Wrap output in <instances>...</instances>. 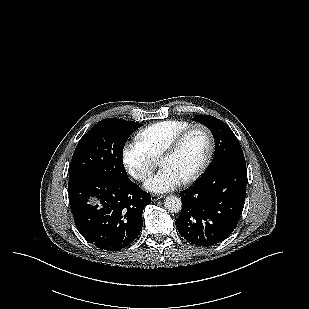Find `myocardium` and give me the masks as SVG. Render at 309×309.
Listing matches in <instances>:
<instances>
[{
    "mask_svg": "<svg viewBox=\"0 0 309 309\" xmlns=\"http://www.w3.org/2000/svg\"><path fill=\"white\" fill-rule=\"evenodd\" d=\"M195 129H201L203 130L208 138V143H209V147H208V152L207 155L203 161V163L201 164V166L189 177H187L186 179L182 180L181 183L184 185L190 184L195 182L197 179H199L204 172L206 171V169L208 168V166L211 163L212 157L214 155V151H215V139L213 136V133L211 132V130L203 125V124H192L189 127L185 128L183 131H181L172 141L171 143L166 147V149L164 150V152L161 154L160 159H159V163L166 159L171 157L172 155H174L177 150L180 148L181 144L183 143V141L185 140V138Z\"/></svg>",
    "mask_w": 309,
    "mask_h": 309,
    "instance_id": "myocardium-1",
    "label": "myocardium"
}]
</instances>
